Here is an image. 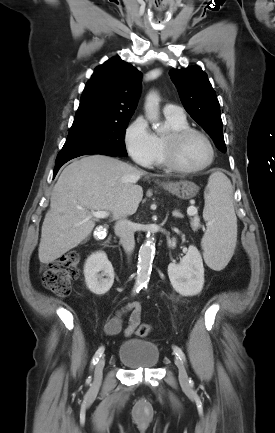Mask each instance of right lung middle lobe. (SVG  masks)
I'll use <instances>...</instances> for the list:
<instances>
[{
    "instance_id": "1",
    "label": "right lung middle lobe",
    "mask_w": 275,
    "mask_h": 433,
    "mask_svg": "<svg viewBox=\"0 0 275 433\" xmlns=\"http://www.w3.org/2000/svg\"><path fill=\"white\" fill-rule=\"evenodd\" d=\"M129 119L74 120L68 138L59 152L56 163L89 154H110L127 156L124 133Z\"/></svg>"
}]
</instances>
